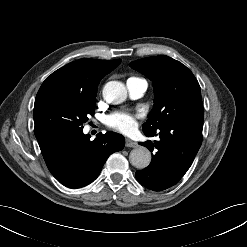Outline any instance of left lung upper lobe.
Listing matches in <instances>:
<instances>
[{
    "mask_svg": "<svg viewBox=\"0 0 247 247\" xmlns=\"http://www.w3.org/2000/svg\"><path fill=\"white\" fill-rule=\"evenodd\" d=\"M130 67L152 80L154 107L143 132L151 133L177 120L203 122L201 89L193 73L182 63L165 55L133 61Z\"/></svg>",
    "mask_w": 247,
    "mask_h": 247,
    "instance_id": "left-lung-upper-lobe-1",
    "label": "left lung upper lobe"
}]
</instances>
